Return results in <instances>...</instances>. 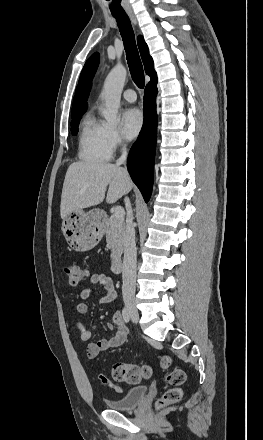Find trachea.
<instances>
[{
	"label": "trachea",
	"mask_w": 263,
	"mask_h": 440,
	"mask_svg": "<svg viewBox=\"0 0 263 440\" xmlns=\"http://www.w3.org/2000/svg\"><path fill=\"white\" fill-rule=\"evenodd\" d=\"M112 15L116 18L119 31L121 33L125 51L127 63L129 66L131 77L134 83L140 88H144L145 78L142 62L138 53V49L135 42L134 31L131 26V22L127 14L123 11L114 12Z\"/></svg>",
	"instance_id": "trachea-1"
}]
</instances>
